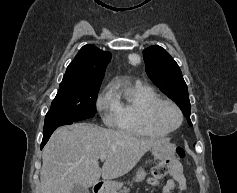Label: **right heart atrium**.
Returning <instances> with one entry per match:
<instances>
[{"label":"right heart atrium","mask_w":237,"mask_h":193,"mask_svg":"<svg viewBox=\"0 0 237 193\" xmlns=\"http://www.w3.org/2000/svg\"><path fill=\"white\" fill-rule=\"evenodd\" d=\"M96 105L103 120L112 125L116 112V103L110 87L105 88L104 91L98 96Z\"/></svg>","instance_id":"right-heart-atrium-1"}]
</instances>
